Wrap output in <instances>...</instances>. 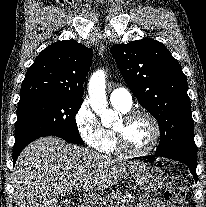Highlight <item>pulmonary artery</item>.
Here are the masks:
<instances>
[{
	"instance_id": "pulmonary-artery-1",
	"label": "pulmonary artery",
	"mask_w": 206,
	"mask_h": 207,
	"mask_svg": "<svg viewBox=\"0 0 206 207\" xmlns=\"http://www.w3.org/2000/svg\"><path fill=\"white\" fill-rule=\"evenodd\" d=\"M110 101L112 104L121 106L124 109H130L132 106L131 93L125 88H116L110 95Z\"/></svg>"
}]
</instances>
